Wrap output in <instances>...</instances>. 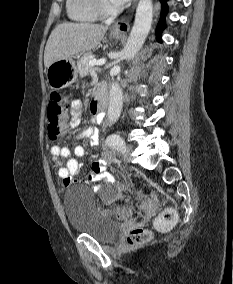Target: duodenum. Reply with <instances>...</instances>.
Listing matches in <instances>:
<instances>
[{"label": "duodenum", "instance_id": "obj_1", "mask_svg": "<svg viewBox=\"0 0 233 284\" xmlns=\"http://www.w3.org/2000/svg\"><path fill=\"white\" fill-rule=\"evenodd\" d=\"M97 104V107L100 109V110H104L107 106V103H108V98H107V95L105 92L103 91H99L97 93V97H96V102Z\"/></svg>", "mask_w": 233, "mask_h": 284}]
</instances>
